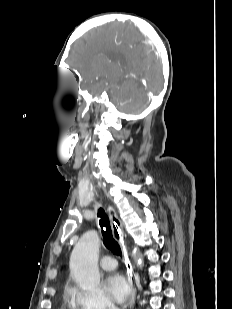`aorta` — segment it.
Instances as JSON below:
<instances>
[{"mask_svg":"<svg viewBox=\"0 0 232 309\" xmlns=\"http://www.w3.org/2000/svg\"><path fill=\"white\" fill-rule=\"evenodd\" d=\"M100 248V238L95 231L86 232L74 247L71 258V275L77 284L85 290L97 287L100 283V273L98 268V256ZM134 259L138 267L143 266L142 258L133 252Z\"/></svg>","mask_w":232,"mask_h":309,"instance_id":"obj_1","label":"aorta"}]
</instances>
